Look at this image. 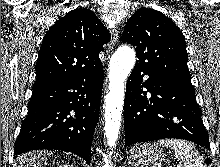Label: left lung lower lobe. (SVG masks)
<instances>
[{"label": "left lung lower lobe", "instance_id": "obj_1", "mask_svg": "<svg viewBox=\"0 0 220 167\" xmlns=\"http://www.w3.org/2000/svg\"><path fill=\"white\" fill-rule=\"evenodd\" d=\"M144 75L149 76L146 81ZM124 125L126 146L177 138L210 149L191 81L166 77L138 65L127 80Z\"/></svg>", "mask_w": 220, "mask_h": 167}]
</instances>
